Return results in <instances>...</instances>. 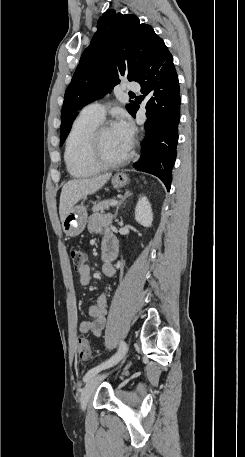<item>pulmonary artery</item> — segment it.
<instances>
[{"label": "pulmonary artery", "instance_id": "pulmonary-artery-1", "mask_svg": "<svg viewBox=\"0 0 245 457\" xmlns=\"http://www.w3.org/2000/svg\"><path fill=\"white\" fill-rule=\"evenodd\" d=\"M143 83L142 81H135V80H126L125 86L121 88V93L123 95H128L130 90H142ZM105 114V109L101 104L92 103L86 105L80 115H87L96 119H102Z\"/></svg>", "mask_w": 245, "mask_h": 457}]
</instances>
